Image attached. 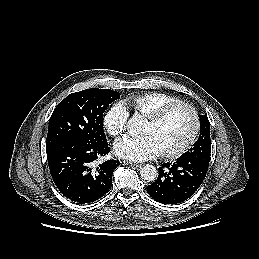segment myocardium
Returning a JSON list of instances; mask_svg holds the SVG:
<instances>
[{
    "mask_svg": "<svg viewBox=\"0 0 259 259\" xmlns=\"http://www.w3.org/2000/svg\"><path fill=\"white\" fill-rule=\"evenodd\" d=\"M184 108L190 112L193 118V129L187 140L180 145L178 148L171 150V151H165V152H160L159 155L162 158L165 159H174L182 156L184 153H186L191 146L195 143L199 132L201 128V123H200V117L197 112V110L191 106L188 103L185 102H178L174 104H170L157 112L153 113L152 115L147 117V122L152 124V125H157L160 122H162L164 119H166L169 115H171L174 111Z\"/></svg>",
    "mask_w": 259,
    "mask_h": 259,
    "instance_id": "f54148a6",
    "label": "myocardium"
}]
</instances>
